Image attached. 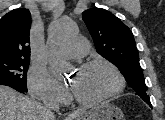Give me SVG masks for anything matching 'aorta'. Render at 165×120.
Wrapping results in <instances>:
<instances>
[{"label":"aorta","instance_id":"obj_1","mask_svg":"<svg viewBox=\"0 0 165 120\" xmlns=\"http://www.w3.org/2000/svg\"><path fill=\"white\" fill-rule=\"evenodd\" d=\"M76 34V24L71 20H60L52 24L50 28V43L52 45H59L70 36ZM52 66L56 70H63L65 64L58 59H53Z\"/></svg>","mask_w":165,"mask_h":120}]
</instances>
